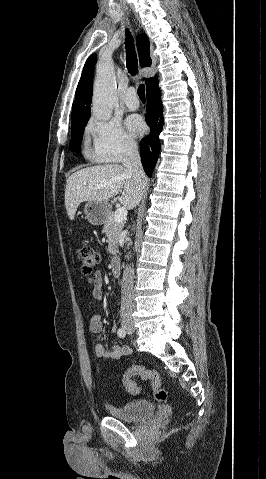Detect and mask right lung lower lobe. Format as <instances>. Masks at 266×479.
Masks as SVG:
<instances>
[{"label":"right lung lower lobe","instance_id":"1","mask_svg":"<svg viewBox=\"0 0 266 479\" xmlns=\"http://www.w3.org/2000/svg\"><path fill=\"white\" fill-rule=\"evenodd\" d=\"M146 91L147 114L145 119L151 129V133L146 139L141 140L140 155L143 168L147 176L151 177L161 147L159 134L163 128V105L158 81L146 88Z\"/></svg>","mask_w":266,"mask_h":479}]
</instances>
